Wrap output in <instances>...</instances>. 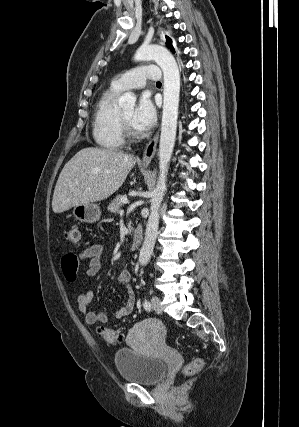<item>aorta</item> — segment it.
<instances>
[{"mask_svg":"<svg viewBox=\"0 0 299 427\" xmlns=\"http://www.w3.org/2000/svg\"><path fill=\"white\" fill-rule=\"evenodd\" d=\"M135 61L154 60L162 69L164 75V100L159 145V177L153 191L150 215L145 230L144 243L139 254V263L146 265L151 257L156 242L159 227V210L167 190L168 167L176 139L180 73L173 55L164 47L148 45L138 48L134 55ZM136 97L133 93H124L118 103L124 110H134Z\"/></svg>","mask_w":299,"mask_h":427,"instance_id":"obj_1","label":"aorta"}]
</instances>
